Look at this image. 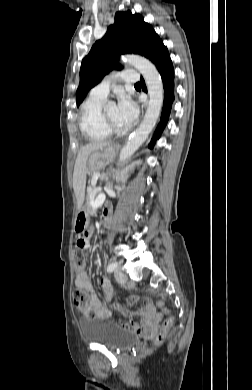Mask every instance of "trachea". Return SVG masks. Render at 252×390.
Instances as JSON below:
<instances>
[{
	"mask_svg": "<svg viewBox=\"0 0 252 390\" xmlns=\"http://www.w3.org/2000/svg\"><path fill=\"white\" fill-rule=\"evenodd\" d=\"M135 86H140V83H139V82H138V83H136V84H135Z\"/></svg>",
	"mask_w": 252,
	"mask_h": 390,
	"instance_id": "trachea-1",
	"label": "trachea"
}]
</instances>
